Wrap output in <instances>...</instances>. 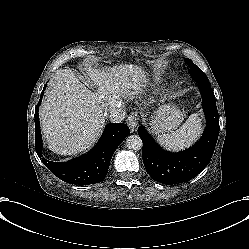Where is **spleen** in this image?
Wrapping results in <instances>:
<instances>
[{
  "label": "spleen",
  "instance_id": "3e777b00",
  "mask_svg": "<svg viewBox=\"0 0 249 249\" xmlns=\"http://www.w3.org/2000/svg\"><path fill=\"white\" fill-rule=\"evenodd\" d=\"M201 132L202 120L198 113H193L178 130L158 135L157 141L168 150L180 151L192 145Z\"/></svg>",
  "mask_w": 249,
  "mask_h": 249
}]
</instances>
